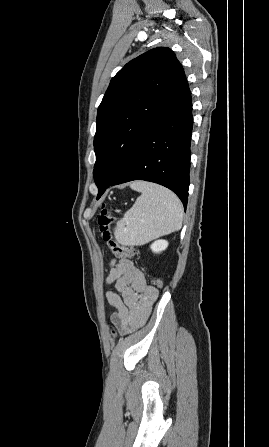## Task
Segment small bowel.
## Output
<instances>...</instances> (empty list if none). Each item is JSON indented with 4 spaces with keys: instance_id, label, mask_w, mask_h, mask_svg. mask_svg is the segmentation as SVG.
Masks as SVG:
<instances>
[{
    "instance_id": "obj_1",
    "label": "small bowel",
    "mask_w": 269,
    "mask_h": 447,
    "mask_svg": "<svg viewBox=\"0 0 269 447\" xmlns=\"http://www.w3.org/2000/svg\"><path fill=\"white\" fill-rule=\"evenodd\" d=\"M106 281L114 283L117 291L106 292L109 304L116 309L112 322L119 329L143 326L158 298V290L149 285L144 273L127 259L112 262Z\"/></svg>"
}]
</instances>
